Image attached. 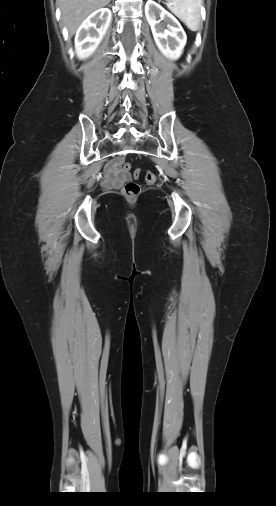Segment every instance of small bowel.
I'll list each match as a JSON object with an SVG mask.
<instances>
[{
    "instance_id": "1",
    "label": "small bowel",
    "mask_w": 276,
    "mask_h": 506,
    "mask_svg": "<svg viewBox=\"0 0 276 506\" xmlns=\"http://www.w3.org/2000/svg\"><path fill=\"white\" fill-rule=\"evenodd\" d=\"M118 162H120V160L116 159L106 166L104 179L106 186H117L129 179V174L126 172H121L116 166V163Z\"/></svg>"
}]
</instances>
